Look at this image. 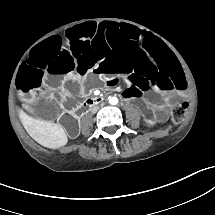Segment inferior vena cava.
<instances>
[{"mask_svg":"<svg viewBox=\"0 0 215 215\" xmlns=\"http://www.w3.org/2000/svg\"><path fill=\"white\" fill-rule=\"evenodd\" d=\"M99 106H93L92 108H91V113H96L98 110H99Z\"/></svg>","mask_w":215,"mask_h":215,"instance_id":"inferior-vena-cava-1","label":"inferior vena cava"}]
</instances>
